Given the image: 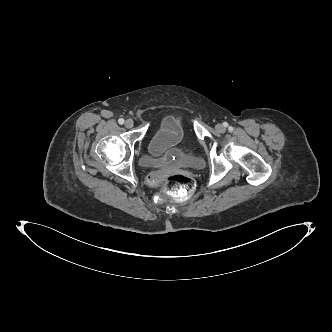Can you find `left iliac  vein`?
I'll list each match as a JSON object with an SVG mask.
<instances>
[{
	"instance_id": "left-iliac-vein-1",
	"label": "left iliac vein",
	"mask_w": 332,
	"mask_h": 332,
	"mask_svg": "<svg viewBox=\"0 0 332 332\" xmlns=\"http://www.w3.org/2000/svg\"><path fill=\"white\" fill-rule=\"evenodd\" d=\"M215 128H216V130H217L218 132H220V133L225 132V127H224V125H222V124H220V123H218V124L215 126Z\"/></svg>"
}]
</instances>
